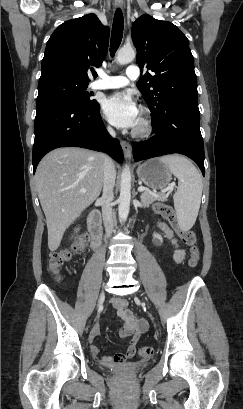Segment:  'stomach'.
I'll use <instances>...</instances> for the list:
<instances>
[{"label": "stomach", "mask_w": 243, "mask_h": 409, "mask_svg": "<svg viewBox=\"0 0 243 409\" xmlns=\"http://www.w3.org/2000/svg\"><path fill=\"white\" fill-rule=\"evenodd\" d=\"M139 179L151 189H163L171 180L170 169L159 158L147 160L137 169Z\"/></svg>", "instance_id": "obj_1"}]
</instances>
